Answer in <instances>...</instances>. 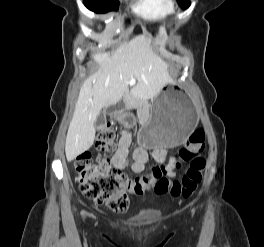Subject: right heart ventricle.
<instances>
[{
	"mask_svg": "<svg viewBox=\"0 0 264 247\" xmlns=\"http://www.w3.org/2000/svg\"><path fill=\"white\" fill-rule=\"evenodd\" d=\"M135 11L144 19L163 21L174 16L176 7L174 0H139Z\"/></svg>",
	"mask_w": 264,
	"mask_h": 247,
	"instance_id": "e07e8e85",
	"label": "right heart ventricle"
}]
</instances>
